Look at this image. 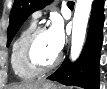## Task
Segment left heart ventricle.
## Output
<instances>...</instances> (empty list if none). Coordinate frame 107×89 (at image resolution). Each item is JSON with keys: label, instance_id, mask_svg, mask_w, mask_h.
I'll list each match as a JSON object with an SVG mask.
<instances>
[{"label": "left heart ventricle", "instance_id": "b2bd125f", "mask_svg": "<svg viewBox=\"0 0 107 89\" xmlns=\"http://www.w3.org/2000/svg\"><path fill=\"white\" fill-rule=\"evenodd\" d=\"M34 53L35 58L44 65L51 64L59 54L51 41L48 31L42 33L37 39Z\"/></svg>", "mask_w": 107, "mask_h": 89}]
</instances>
